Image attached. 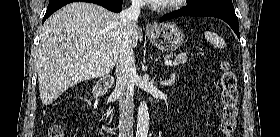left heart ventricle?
I'll use <instances>...</instances> for the list:
<instances>
[{"label":"left heart ventricle","instance_id":"b2bd125f","mask_svg":"<svg viewBox=\"0 0 280 137\" xmlns=\"http://www.w3.org/2000/svg\"><path fill=\"white\" fill-rule=\"evenodd\" d=\"M168 27H170V26H165V28H168Z\"/></svg>","mask_w":280,"mask_h":137}]
</instances>
